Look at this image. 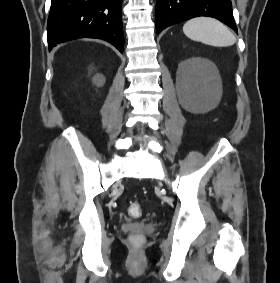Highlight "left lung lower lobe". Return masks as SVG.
Instances as JSON below:
<instances>
[{
    "label": "left lung lower lobe",
    "mask_w": 280,
    "mask_h": 283,
    "mask_svg": "<svg viewBox=\"0 0 280 283\" xmlns=\"http://www.w3.org/2000/svg\"><path fill=\"white\" fill-rule=\"evenodd\" d=\"M199 16L216 18L237 32L231 0H157L156 33L168 26Z\"/></svg>",
    "instance_id": "obj_1"
}]
</instances>
